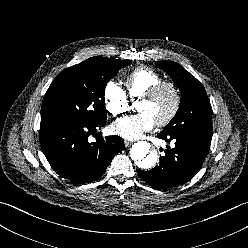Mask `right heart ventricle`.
Wrapping results in <instances>:
<instances>
[{
	"label": "right heart ventricle",
	"mask_w": 248,
	"mask_h": 248,
	"mask_svg": "<svg viewBox=\"0 0 248 248\" xmlns=\"http://www.w3.org/2000/svg\"><path fill=\"white\" fill-rule=\"evenodd\" d=\"M162 76L148 68L139 67L125 78L127 95L132 99L140 98L147 90L162 80Z\"/></svg>",
	"instance_id": "right-heart-ventricle-1"
}]
</instances>
